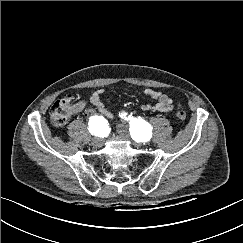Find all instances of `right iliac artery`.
Here are the masks:
<instances>
[{
    "label": "right iliac artery",
    "instance_id": "82829eb1",
    "mask_svg": "<svg viewBox=\"0 0 243 243\" xmlns=\"http://www.w3.org/2000/svg\"><path fill=\"white\" fill-rule=\"evenodd\" d=\"M106 126V121L103 117L100 116H92L89 120V131L90 133L96 136H99L102 133V130Z\"/></svg>",
    "mask_w": 243,
    "mask_h": 243
}]
</instances>
